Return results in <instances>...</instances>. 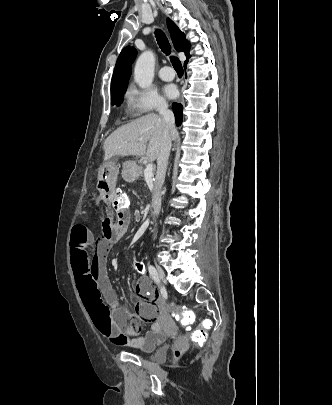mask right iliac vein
Here are the masks:
<instances>
[{"label": "right iliac vein", "instance_id": "63e3f726", "mask_svg": "<svg viewBox=\"0 0 332 405\" xmlns=\"http://www.w3.org/2000/svg\"><path fill=\"white\" fill-rule=\"evenodd\" d=\"M156 272H157V275H158V277H159V279H161L162 281H166V275H165V272L163 271V269L160 267V266H156Z\"/></svg>", "mask_w": 332, "mask_h": 405}]
</instances>
